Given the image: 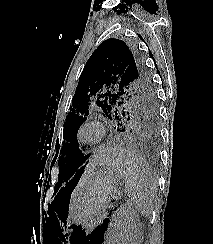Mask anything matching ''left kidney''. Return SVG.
Returning a JSON list of instances; mask_svg holds the SVG:
<instances>
[{"label":"left kidney","instance_id":"left-kidney-1","mask_svg":"<svg viewBox=\"0 0 213 244\" xmlns=\"http://www.w3.org/2000/svg\"><path fill=\"white\" fill-rule=\"evenodd\" d=\"M138 231V225L131 219L129 212L122 209L108 232L107 244H138Z\"/></svg>","mask_w":213,"mask_h":244}]
</instances>
